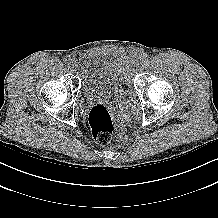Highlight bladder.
<instances>
[{"label":"bladder","mask_w":218,"mask_h":218,"mask_svg":"<svg viewBox=\"0 0 218 218\" xmlns=\"http://www.w3.org/2000/svg\"><path fill=\"white\" fill-rule=\"evenodd\" d=\"M79 65L86 98L122 95L131 85L132 66L126 57L89 52L80 57Z\"/></svg>","instance_id":"31cf9c89"}]
</instances>
